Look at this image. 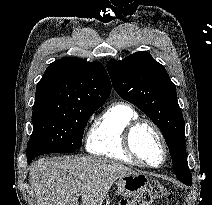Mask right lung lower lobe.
<instances>
[{
    "label": "right lung lower lobe",
    "instance_id": "1",
    "mask_svg": "<svg viewBox=\"0 0 212 205\" xmlns=\"http://www.w3.org/2000/svg\"><path fill=\"white\" fill-rule=\"evenodd\" d=\"M32 161V159H28V162L30 163Z\"/></svg>",
    "mask_w": 212,
    "mask_h": 205
}]
</instances>
